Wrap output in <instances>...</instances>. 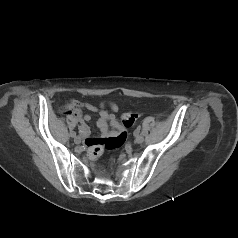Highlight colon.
I'll use <instances>...</instances> for the list:
<instances>
[{
    "label": "colon",
    "instance_id": "5ec220e1",
    "mask_svg": "<svg viewBox=\"0 0 238 238\" xmlns=\"http://www.w3.org/2000/svg\"><path fill=\"white\" fill-rule=\"evenodd\" d=\"M136 119H137V114L135 113L123 112L119 116V121L124 127L132 126L135 123ZM120 133L121 134H119L116 137H109V138L98 141L97 144H95L93 147L89 149V156L94 159L100 156L103 153L104 149H115L120 147L124 143L127 137V134H126L127 132L126 130L123 129L121 130Z\"/></svg>",
    "mask_w": 238,
    "mask_h": 238
}]
</instances>
